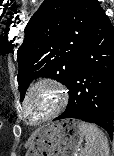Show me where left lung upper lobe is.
Wrapping results in <instances>:
<instances>
[{
  "mask_svg": "<svg viewBox=\"0 0 114 156\" xmlns=\"http://www.w3.org/2000/svg\"><path fill=\"white\" fill-rule=\"evenodd\" d=\"M100 8L97 0H45L25 28L17 51L23 100L34 78L48 77L67 87L80 49Z\"/></svg>",
  "mask_w": 114,
  "mask_h": 156,
  "instance_id": "1",
  "label": "left lung upper lobe"
}]
</instances>
